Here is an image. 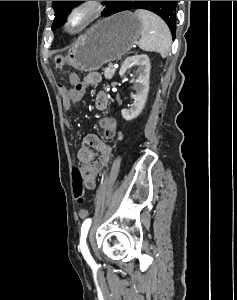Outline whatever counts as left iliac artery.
Returning a JSON list of instances; mask_svg holds the SVG:
<instances>
[{
  "mask_svg": "<svg viewBox=\"0 0 237 300\" xmlns=\"http://www.w3.org/2000/svg\"><path fill=\"white\" fill-rule=\"evenodd\" d=\"M91 226V219H86L81 227V238H80V250L85 258V260L87 261V263L92 267H96V263L94 261V259L92 258L88 246L86 244V237L88 234V230Z\"/></svg>",
  "mask_w": 237,
  "mask_h": 300,
  "instance_id": "left-iliac-artery-1",
  "label": "left iliac artery"
}]
</instances>
